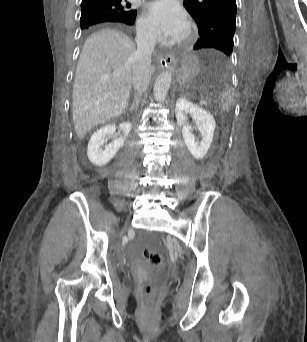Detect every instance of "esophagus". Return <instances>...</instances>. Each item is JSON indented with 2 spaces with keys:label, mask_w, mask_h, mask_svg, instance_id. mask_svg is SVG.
Here are the masks:
<instances>
[{
  "label": "esophagus",
  "mask_w": 307,
  "mask_h": 342,
  "mask_svg": "<svg viewBox=\"0 0 307 342\" xmlns=\"http://www.w3.org/2000/svg\"><path fill=\"white\" fill-rule=\"evenodd\" d=\"M163 61L167 64H170L173 60H174V55H172L171 53L163 55Z\"/></svg>",
  "instance_id": "1"
}]
</instances>
